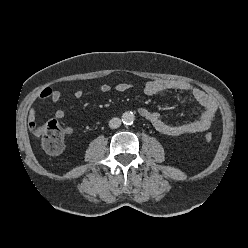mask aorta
Masks as SVG:
<instances>
[{
  "instance_id": "762f6f07",
  "label": "aorta",
  "mask_w": 248,
  "mask_h": 248,
  "mask_svg": "<svg viewBox=\"0 0 248 248\" xmlns=\"http://www.w3.org/2000/svg\"><path fill=\"white\" fill-rule=\"evenodd\" d=\"M135 115L131 111H126L122 114V122L124 124L130 125L134 122Z\"/></svg>"
}]
</instances>
